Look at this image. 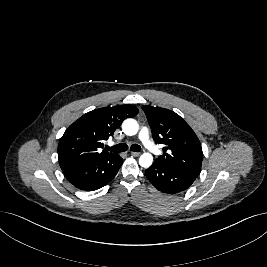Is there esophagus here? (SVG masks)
<instances>
[{
	"instance_id": "esophagus-1",
	"label": "esophagus",
	"mask_w": 267,
	"mask_h": 267,
	"mask_svg": "<svg viewBox=\"0 0 267 267\" xmlns=\"http://www.w3.org/2000/svg\"><path fill=\"white\" fill-rule=\"evenodd\" d=\"M131 155L134 156V157H137V156L140 155V153L139 152H131Z\"/></svg>"
}]
</instances>
